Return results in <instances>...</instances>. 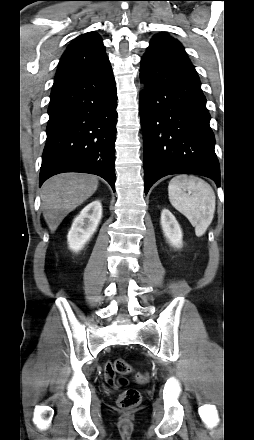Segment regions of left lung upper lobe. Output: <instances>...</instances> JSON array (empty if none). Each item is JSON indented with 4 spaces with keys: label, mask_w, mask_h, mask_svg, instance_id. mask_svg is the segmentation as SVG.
<instances>
[{
    "label": "left lung upper lobe",
    "mask_w": 254,
    "mask_h": 440,
    "mask_svg": "<svg viewBox=\"0 0 254 440\" xmlns=\"http://www.w3.org/2000/svg\"><path fill=\"white\" fill-rule=\"evenodd\" d=\"M146 53H154L171 59L190 62L182 45L165 33L153 36Z\"/></svg>",
    "instance_id": "1"
}]
</instances>
